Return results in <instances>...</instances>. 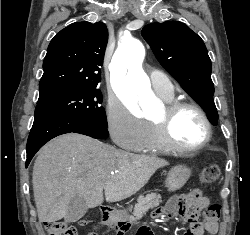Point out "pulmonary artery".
I'll return each instance as SVG.
<instances>
[{"mask_svg":"<svg viewBox=\"0 0 250 235\" xmlns=\"http://www.w3.org/2000/svg\"><path fill=\"white\" fill-rule=\"evenodd\" d=\"M153 90L163 97L173 96V85L169 78L161 72H152L150 74Z\"/></svg>","mask_w":250,"mask_h":235,"instance_id":"e3ab8cb5","label":"pulmonary artery"}]
</instances>
